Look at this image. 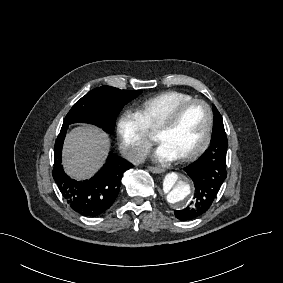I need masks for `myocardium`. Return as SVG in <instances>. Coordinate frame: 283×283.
<instances>
[{"label": "myocardium", "mask_w": 283, "mask_h": 283, "mask_svg": "<svg viewBox=\"0 0 283 283\" xmlns=\"http://www.w3.org/2000/svg\"><path fill=\"white\" fill-rule=\"evenodd\" d=\"M192 104H200L205 108L207 113V125L204 136L201 142L199 143V145L193 150L178 157V159L181 161H188L190 159H193L197 157L199 154H201L207 148L211 139V133H212L213 121H214V114L211 106L206 101L197 98H192L190 100L184 101L171 108L166 115L162 116L158 122L157 127L154 130V135H155L158 131L171 129L175 125L179 117L183 114V112ZM155 140L156 142L159 143L156 137Z\"/></svg>", "instance_id": "obj_1"}]
</instances>
